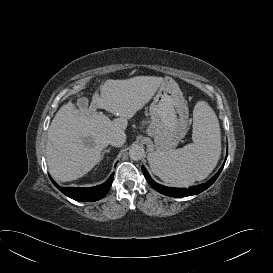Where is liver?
I'll return each mask as SVG.
<instances>
[{
    "mask_svg": "<svg viewBox=\"0 0 273 273\" xmlns=\"http://www.w3.org/2000/svg\"><path fill=\"white\" fill-rule=\"evenodd\" d=\"M162 77L136 76L124 80H106L95 93L89 108L63 105L47 133L46 156L50 173L57 180H76L88 173L101 159L108 146V135L124 131L133 117L154 96ZM97 108L106 109L119 118L111 121Z\"/></svg>",
    "mask_w": 273,
    "mask_h": 273,
    "instance_id": "obj_1",
    "label": "liver"
}]
</instances>
